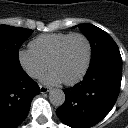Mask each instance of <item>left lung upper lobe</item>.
Returning <instances> with one entry per match:
<instances>
[{
	"instance_id": "5c2ea615",
	"label": "left lung upper lobe",
	"mask_w": 128,
	"mask_h": 128,
	"mask_svg": "<svg viewBox=\"0 0 128 128\" xmlns=\"http://www.w3.org/2000/svg\"><path fill=\"white\" fill-rule=\"evenodd\" d=\"M79 28L90 41L92 48L91 61L105 54L120 53L117 44L107 32L92 24H81Z\"/></svg>"
}]
</instances>
